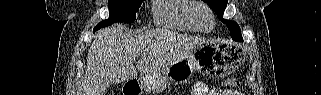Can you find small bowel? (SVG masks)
Segmentation results:
<instances>
[{"label":"small bowel","mask_w":321,"mask_h":95,"mask_svg":"<svg viewBox=\"0 0 321 95\" xmlns=\"http://www.w3.org/2000/svg\"><path fill=\"white\" fill-rule=\"evenodd\" d=\"M196 95H235L236 93L221 91L219 89H207L203 85L196 86Z\"/></svg>","instance_id":"small-bowel-1"}]
</instances>
